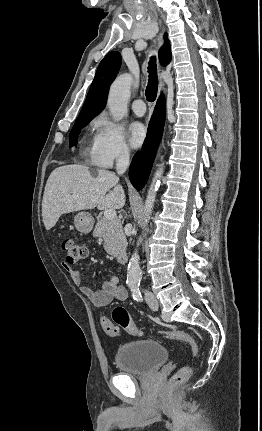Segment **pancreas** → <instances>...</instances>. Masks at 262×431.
<instances>
[{
	"instance_id": "obj_1",
	"label": "pancreas",
	"mask_w": 262,
	"mask_h": 431,
	"mask_svg": "<svg viewBox=\"0 0 262 431\" xmlns=\"http://www.w3.org/2000/svg\"><path fill=\"white\" fill-rule=\"evenodd\" d=\"M93 236L103 239L104 249L111 255L116 256L126 249V237L118 218L108 220L104 217L98 220L93 231Z\"/></svg>"
}]
</instances>
